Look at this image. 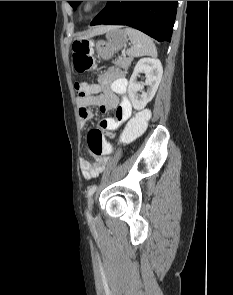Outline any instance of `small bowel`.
Masks as SVG:
<instances>
[{
	"instance_id": "obj_1",
	"label": "small bowel",
	"mask_w": 233,
	"mask_h": 295,
	"mask_svg": "<svg viewBox=\"0 0 233 295\" xmlns=\"http://www.w3.org/2000/svg\"><path fill=\"white\" fill-rule=\"evenodd\" d=\"M100 89L103 94L77 96L78 112L81 122L85 124L94 118L90 107L96 106L102 113L115 110L114 118L102 119L98 124V129L109 134L132 116L133 107L125 97L128 90V81L119 69L111 68L101 78ZM120 96H124V98L120 99ZM106 163L107 158L105 156L97 157L95 161L82 158L80 160L81 173L85 179L95 178L103 171Z\"/></svg>"
}]
</instances>
